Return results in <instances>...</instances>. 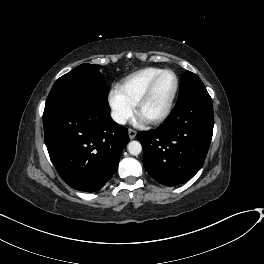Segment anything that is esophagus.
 I'll return each instance as SVG.
<instances>
[{
    "label": "esophagus",
    "instance_id": "1",
    "mask_svg": "<svg viewBox=\"0 0 264 264\" xmlns=\"http://www.w3.org/2000/svg\"><path fill=\"white\" fill-rule=\"evenodd\" d=\"M137 132L133 129L128 130V135L130 139H134L136 137Z\"/></svg>",
    "mask_w": 264,
    "mask_h": 264
}]
</instances>
